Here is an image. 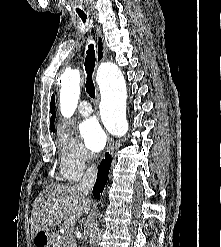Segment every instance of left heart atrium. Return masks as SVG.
Wrapping results in <instances>:
<instances>
[{"label": "left heart atrium", "instance_id": "left-heart-atrium-1", "mask_svg": "<svg viewBox=\"0 0 221 247\" xmlns=\"http://www.w3.org/2000/svg\"><path fill=\"white\" fill-rule=\"evenodd\" d=\"M81 137L88 149L98 152L106 144V134L95 118L83 121L79 127Z\"/></svg>", "mask_w": 221, "mask_h": 247}]
</instances>
